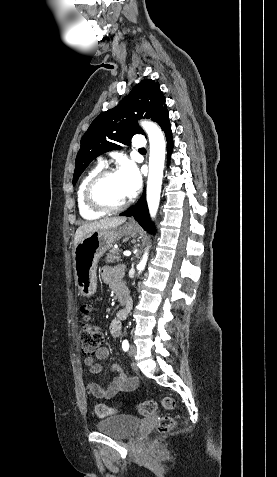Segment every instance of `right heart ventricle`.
Returning a JSON list of instances; mask_svg holds the SVG:
<instances>
[{
	"label": "right heart ventricle",
	"mask_w": 277,
	"mask_h": 477,
	"mask_svg": "<svg viewBox=\"0 0 277 477\" xmlns=\"http://www.w3.org/2000/svg\"><path fill=\"white\" fill-rule=\"evenodd\" d=\"M100 170H102V165L99 164V165L95 166L94 168H92L90 171H88V173L82 179V181H81V183L78 187V190H77V204H78L79 213L86 220H95V219H98L101 216H103V213L95 212V211L89 209L86 206V204L84 202V197H83L84 189H85L86 184Z\"/></svg>",
	"instance_id": "e07e8e85"
}]
</instances>
